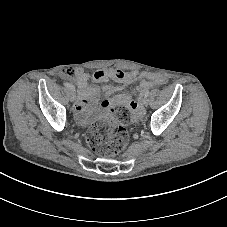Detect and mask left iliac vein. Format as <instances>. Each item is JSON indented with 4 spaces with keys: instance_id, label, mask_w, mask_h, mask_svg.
Wrapping results in <instances>:
<instances>
[{
    "instance_id": "left-iliac-vein-1",
    "label": "left iliac vein",
    "mask_w": 227,
    "mask_h": 227,
    "mask_svg": "<svg viewBox=\"0 0 227 227\" xmlns=\"http://www.w3.org/2000/svg\"><path fill=\"white\" fill-rule=\"evenodd\" d=\"M148 103H149V99L147 98V97H145L144 99H143V105H148Z\"/></svg>"
}]
</instances>
